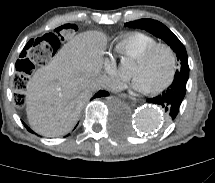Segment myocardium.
I'll use <instances>...</instances> for the list:
<instances>
[{
	"label": "myocardium",
	"mask_w": 215,
	"mask_h": 183,
	"mask_svg": "<svg viewBox=\"0 0 215 183\" xmlns=\"http://www.w3.org/2000/svg\"><path fill=\"white\" fill-rule=\"evenodd\" d=\"M159 50H166L171 58V63H172V69H171V73L169 78L160 86L151 89V90H147L148 93L150 94H158L162 91H164L165 89H167L169 86H171V84L174 82L176 75H177V71H178V63H177V57L176 54L174 52V50L167 44H163V43H158L148 49H146L145 51L141 52L138 56L135 57V60L139 61V62H143L148 60L155 52L159 51Z\"/></svg>",
	"instance_id": "obj_1"
}]
</instances>
